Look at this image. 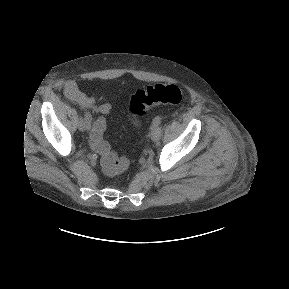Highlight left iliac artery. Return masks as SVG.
<instances>
[{
    "instance_id": "44dca946",
    "label": "left iliac artery",
    "mask_w": 289,
    "mask_h": 289,
    "mask_svg": "<svg viewBox=\"0 0 289 289\" xmlns=\"http://www.w3.org/2000/svg\"><path fill=\"white\" fill-rule=\"evenodd\" d=\"M161 120H162V117L161 116H156L154 119H153V125L152 126H159L161 124Z\"/></svg>"
}]
</instances>
